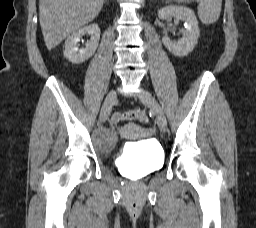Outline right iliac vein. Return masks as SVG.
<instances>
[{
  "mask_svg": "<svg viewBox=\"0 0 256 228\" xmlns=\"http://www.w3.org/2000/svg\"><path fill=\"white\" fill-rule=\"evenodd\" d=\"M115 100H116V92L114 90L109 91L100 112L101 122H104L107 120Z\"/></svg>",
  "mask_w": 256,
  "mask_h": 228,
  "instance_id": "63e3f726",
  "label": "right iliac vein"
}]
</instances>
